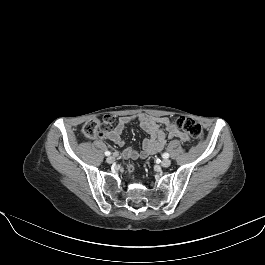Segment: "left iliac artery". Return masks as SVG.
Wrapping results in <instances>:
<instances>
[{
	"label": "left iliac artery",
	"instance_id": "left-iliac-artery-1",
	"mask_svg": "<svg viewBox=\"0 0 265 265\" xmlns=\"http://www.w3.org/2000/svg\"><path fill=\"white\" fill-rule=\"evenodd\" d=\"M162 157H163V158H168V157H169V154H168V153H163V154H162Z\"/></svg>",
	"mask_w": 265,
	"mask_h": 265
}]
</instances>
